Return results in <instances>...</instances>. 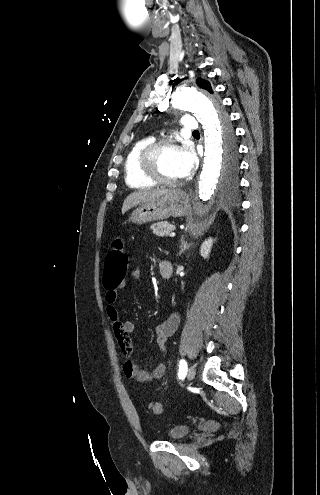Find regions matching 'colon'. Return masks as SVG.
Wrapping results in <instances>:
<instances>
[{
  "label": "colon",
  "instance_id": "obj_1",
  "mask_svg": "<svg viewBox=\"0 0 320 495\" xmlns=\"http://www.w3.org/2000/svg\"><path fill=\"white\" fill-rule=\"evenodd\" d=\"M128 260L129 257L122 242L120 240L114 241L104 263V283L107 288H113L123 281ZM149 408L157 415L163 412L162 404L157 401L151 402Z\"/></svg>",
  "mask_w": 320,
  "mask_h": 495
}]
</instances>
